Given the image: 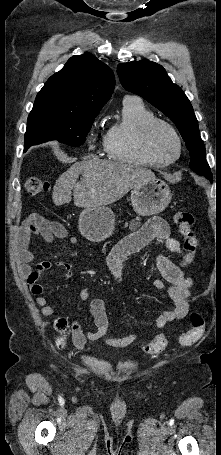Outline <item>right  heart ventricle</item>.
Segmentation results:
<instances>
[{
  "mask_svg": "<svg viewBox=\"0 0 221 455\" xmlns=\"http://www.w3.org/2000/svg\"><path fill=\"white\" fill-rule=\"evenodd\" d=\"M154 114L136 97L126 96L123 100L121 118L111 124L103 139V149L109 159L162 167L165 162L151 155L143 146V126Z\"/></svg>",
  "mask_w": 221,
  "mask_h": 455,
  "instance_id": "right-heart-ventricle-1",
  "label": "right heart ventricle"
}]
</instances>
